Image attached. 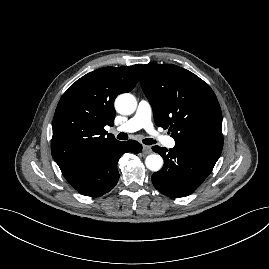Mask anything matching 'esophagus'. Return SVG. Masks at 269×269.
Listing matches in <instances>:
<instances>
[{
	"instance_id": "esophagus-1",
	"label": "esophagus",
	"mask_w": 269,
	"mask_h": 269,
	"mask_svg": "<svg viewBox=\"0 0 269 269\" xmlns=\"http://www.w3.org/2000/svg\"><path fill=\"white\" fill-rule=\"evenodd\" d=\"M143 153H144V154H150V153H152V149H151V147H150V146H146V145H144V146H143Z\"/></svg>"
}]
</instances>
